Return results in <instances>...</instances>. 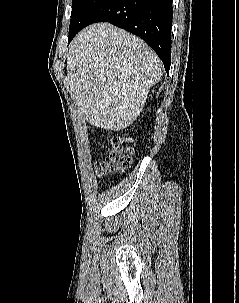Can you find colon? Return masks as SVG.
I'll use <instances>...</instances> for the list:
<instances>
[{
  "mask_svg": "<svg viewBox=\"0 0 239 303\" xmlns=\"http://www.w3.org/2000/svg\"><path fill=\"white\" fill-rule=\"evenodd\" d=\"M129 138L116 136L113 139V149L109 156L97 164V174L104 177L110 173H118L126 170L131 164L132 148L127 144Z\"/></svg>",
  "mask_w": 239,
  "mask_h": 303,
  "instance_id": "1",
  "label": "colon"
}]
</instances>
